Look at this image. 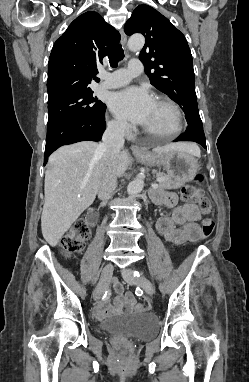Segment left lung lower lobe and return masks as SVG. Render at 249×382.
I'll return each instance as SVG.
<instances>
[{"instance_id":"0a47b994","label":"left lung lower lobe","mask_w":249,"mask_h":382,"mask_svg":"<svg viewBox=\"0 0 249 382\" xmlns=\"http://www.w3.org/2000/svg\"><path fill=\"white\" fill-rule=\"evenodd\" d=\"M174 141H194L201 144L206 149L203 127H187L185 133L180 135Z\"/></svg>"}]
</instances>
